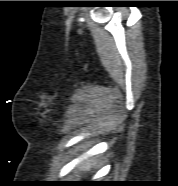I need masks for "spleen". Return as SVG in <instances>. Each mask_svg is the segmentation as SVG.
I'll list each match as a JSON object with an SVG mask.
<instances>
[{
    "mask_svg": "<svg viewBox=\"0 0 178 186\" xmlns=\"http://www.w3.org/2000/svg\"><path fill=\"white\" fill-rule=\"evenodd\" d=\"M90 163L89 162H87L86 164H85V166H84V168H86V169H88V168H90Z\"/></svg>",
    "mask_w": 178,
    "mask_h": 186,
    "instance_id": "spleen-1",
    "label": "spleen"
}]
</instances>
